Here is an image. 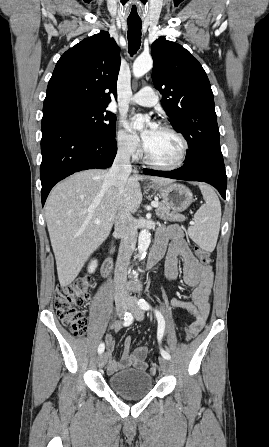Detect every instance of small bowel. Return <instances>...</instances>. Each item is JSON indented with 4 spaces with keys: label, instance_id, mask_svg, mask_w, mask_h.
<instances>
[{
    "label": "small bowel",
    "instance_id": "small-bowel-1",
    "mask_svg": "<svg viewBox=\"0 0 269 447\" xmlns=\"http://www.w3.org/2000/svg\"><path fill=\"white\" fill-rule=\"evenodd\" d=\"M168 238H172L173 241L167 252V277L171 281L177 280V261L180 257L183 262V281L187 286L193 288L191 300L173 298L170 302L171 306L187 311L194 319L191 325L196 329L202 328L210 311L209 299L214 283L213 269L210 265L201 263L193 255L183 237L182 230L177 226L161 231L158 234L154 251L163 252L166 249ZM104 342L107 344L106 356L108 358L109 372L114 373L129 367L138 369L147 367L146 355L144 354V349L147 346L143 345L131 351V340L126 339L120 360H115L112 356L115 343L114 335H106Z\"/></svg>",
    "mask_w": 269,
    "mask_h": 447
}]
</instances>
